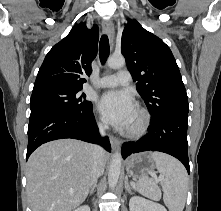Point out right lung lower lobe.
<instances>
[{"label": "right lung lower lobe", "mask_w": 221, "mask_h": 211, "mask_svg": "<svg viewBox=\"0 0 221 211\" xmlns=\"http://www.w3.org/2000/svg\"><path fill=\"white\" fill-rule=\"evenodd\" d=\"M63 138L100 144L111 151L109 138L99 135L91 105L79 112L49 110L30 115L26 158L41 144Z\"/></svg>", "instance_id": "obj_1"}]
</instances>
